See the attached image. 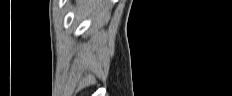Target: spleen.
Here are the masks:
<instances>
[{
	"label": "spleen",
	"instance_id": "3e777b00",
	"mask_svg": "<svg viewBox=\"0 0 232 96\" xmlns=\"http://www.w3.org/2000/svg\"><path fill=\"white\" fill-rule=\"evenodd\" d=\"M76 11L84 16L99 15L105 11L102 1L79 0L76 3Z\"/></svg>",
	"mask_w": 232,
	"mask_h": 96
}]
</instances>
